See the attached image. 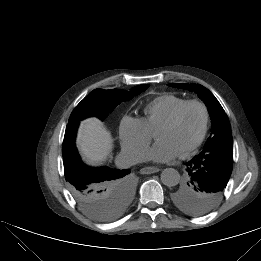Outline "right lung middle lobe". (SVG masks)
<instances>
[{
	"mask_svg": "<svg viewBox=\"0 0 261 261\" xmlns=\"http://www.w3.org/2000/svg\"><path fill=\"white\" fill-rule=\"evenodd\" d=\"M147 88L148 85L136 86L131 91L95 89L76 106L69 122L89 116L104 120L121 102L130 100ZM126 175L113 176L97 183H82L78 174L65 176L81 209L96 220L110 221L121 215L131 202L133 187Z\"/></svg>",
	"mask_w": 261,
	"mask_h": 261,
	"instance_id": "dd1d6c3e",
	"label": "right lung middle lobe"
}]
</instances>
